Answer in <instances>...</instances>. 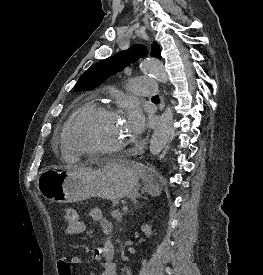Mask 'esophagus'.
I'll use <instances>...</instances> for the list:
<instances>
[{"label": "esophagus", "mask_w": 263, "mask_h": 275, "mask_svg": "<svg viewBox=\"0 0 263 275\" xmlns=\"http://www.w3.org/2000/svg\"><path fill=\"white\" fill-rule=\"evenodd\" d=\"M163 105H164V102H163V100H162V107H163Z\"/></svg>", "instance_id": "obj_1"}]
</instances>
